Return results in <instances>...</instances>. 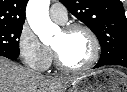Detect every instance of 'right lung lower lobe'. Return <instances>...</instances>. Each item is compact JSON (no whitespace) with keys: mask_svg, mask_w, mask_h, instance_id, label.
<instances>
[{"mask_svg":"<svg viewBox=\"0 0 127 92\" xmlns=\"http://www.w3.org/2000/svg\"><path fill=\"white\" fill-rule=\"evenodd\" d=\"M0 56L7 57L9 59H16L18 57V56H14V55H11V54L4 53V52H0Z\"/></svg>","mask_w":127,"mask_h":92,"instance_id":"right-lung-lower-lobe-1","label":"right lung lower lobe"}]
</instances>
